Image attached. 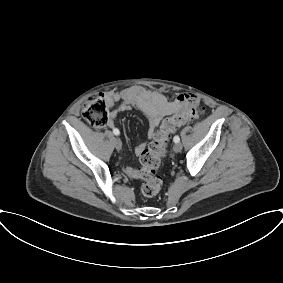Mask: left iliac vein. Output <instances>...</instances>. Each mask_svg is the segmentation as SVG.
I'll use <instances>...</instances> for the list:
<instances>
[{
  "label": "left iliac vein",
  "instance_id": "left-iliac-vein-1",
  "mask_svg": "<svg viewBox=\"0 0 283 283\" xmlns=\"http://www.w3.org/2000/svg\"><path fill=\"white\" fill-rule=\"evenodd\" d=\"M173 150L176 153L180 152L182 150V144L179 142L175 143V145L173 146Z\"/></svg>",
  "mask_w": 283,
  "mask_h": 283
}]
</instances>
